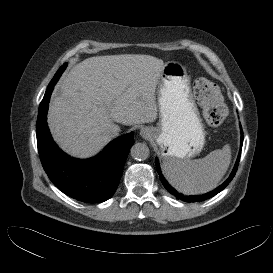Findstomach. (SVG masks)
Segmentation results:
<instances>
[{"instance_id":"0dacf381","label":"stomach","mask_w":273,"mask_h":273,"mask_svg":"<svg viewBox=\"0 0 273 273\" xmlns=\"http://www.w3.org/2000/svg\"><path fill=\"white\" fill-rule=\"evenodd\" d=\"M158 126L152 138L163 159L188 160L205 145V129L193 98L186 68L179 62L165 64L158 82Z\"/></svg>"}]
</instances>
